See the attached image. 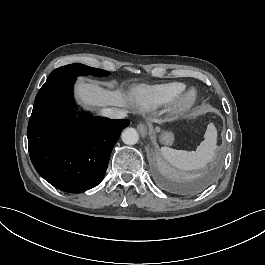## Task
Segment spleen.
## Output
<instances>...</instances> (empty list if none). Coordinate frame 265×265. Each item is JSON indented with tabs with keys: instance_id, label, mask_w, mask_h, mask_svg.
<instances>
[{
	"instance_id": "obj_1",
	"label": "spleen",
	"mask_w": 265,
	"mask_h": 265,
	"mask_svg": "<svg viewBox=\"0 0 265 265\" xmlns=\"http://www.w3.org/2000/svg\"><path fill=\"white\" fill-rule=\"evenodd\" d=\"M204 138L205 140L200 143L196 151L189 152L170 147H162L160 151L166 161L180 170H201L215 158L217 130L213 123L208 124Z\"/></svg>"
}]
</instances>
